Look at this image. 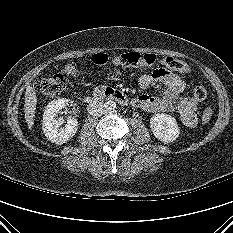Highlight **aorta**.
I'll return each instance as SVG.
<instances>
[{
    "label": "aorta",
    "mask_w": 233,
    "mask_h": 233,
    "mask_svg": "<svg viewBox=\"0 0 233 233\" xmlns=\"http://www.w3.org/2000/svg\"><path fill=\"white\" fill-rule=\"evenodd\" d=\"M116 108V102L113 100H109L105 103V109L106 111H112Z\"/></svg>",
    "instance_id": "762f6f07"
}]
</instances>
